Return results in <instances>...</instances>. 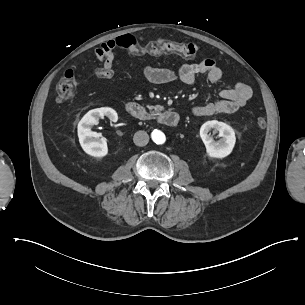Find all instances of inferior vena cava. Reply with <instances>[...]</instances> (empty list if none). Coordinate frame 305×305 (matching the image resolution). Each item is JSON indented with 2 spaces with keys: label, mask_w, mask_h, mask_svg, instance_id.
Returning a JSON list of instances; mask_svg holds the SVG:
<instances>
[{
  "label": "inferior vena cava",
  "mask_w": 305,
  "mask_h": 305,
  "mask_svg": "<svg viewBox=\"0 0 305 305\" xmlns=\"http://www.w3.org/2000/svg\"><path fill=\"white\" fill-rule=\"evenodd\" d=\"M133 141L137 146H145L149 141V135L145 131H137L134 134Z\"/></svg>",
  "instance_id": "602c4592"
}]
</instances>
